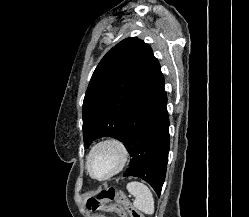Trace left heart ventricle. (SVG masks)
<instances>
[{
	"instance_id": "1",
	"label": "left heart ventricle",
	"mask_w": 249,
	"mask_h": 217,
	"mask_svg": "<svg viewBox=\"0 0 249 217\" xmlns=\"http://www.w3.org/2000/svg\"><path fill=\"white\" fill-rule=\"evenodd\" d=\"M117 152L112 148L99 149L91 159V170L96 176L107 174L116 165Z\"/></svg>"
}]
</instances>
